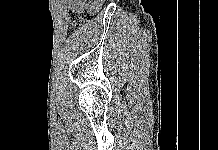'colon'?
I'll use <instances>...</instances> for the list:
<instances>
[{
    "instance_id": "colon-1",
    "label": "colon",
    "mask_w": 218,
    "mask_h": 150,
    "mask_svg": "<svg viewBox=\"0 0 218 150\" xmlns=\"http://www.w3.org/2000/svg\"><path fill=\"white\" fill-rule=\"evenodd\" d=\"M96 8H77L69 11V22L72 27H79L84 23L90 21L95 12Z\"/></svg>"
}]
</instances>
